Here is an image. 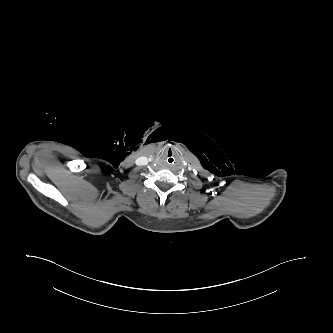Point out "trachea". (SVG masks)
Listing matches in <instances>:
<instances>
[{
  "mask_svg": "<svg viewBox=\"0 0 333 333\" xmlns=\"http://www.w3.org/2000/svg\"><path fill=\"white\" fill-rule=\"evenodd\" d=\"M164 160L167 164L169 165H173L177 162L178 157L177 155L173 152V151H168L165 155H164Z\"/></svg>",
  "mask_w": 333,
  "mask_h": 333,
  "instance_id": "3493384b",
  "label": "trachea"
}]
</instances>
